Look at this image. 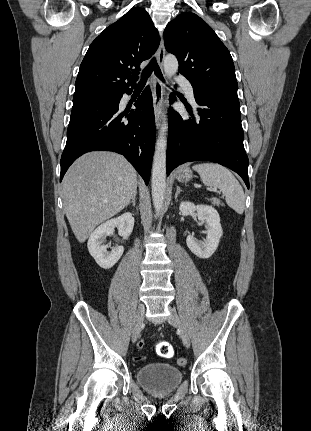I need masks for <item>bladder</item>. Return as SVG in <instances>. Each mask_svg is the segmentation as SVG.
<instances>
[{
    "mask_svg": "<svg viewBox=\"0 0 311 431\" xmlns=\"http://www.w3.org/2000/svg\"><path fill=\"white\" fill-rule=\"evenodd\" d=\"M136 380L150 393L168 394L181 384L183 372L168 363H149L137 369Z\"/></svg>",
    "mask_w": 311,
    "mask_h": 431,
    "instance_id": "31cf9c89",
    "label": "bladder"
}]
</instances>
